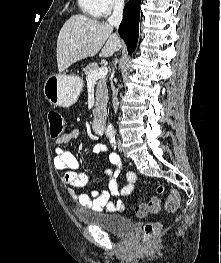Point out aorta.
Listing matches in <instances>:
<instances>
[{"mask_svg":"<svg viewBox=\"0 0 221 263\" xmlns=\"http://www.w3.org/2000/svg\"><path fill=\"white\" fill-rule=\"evenodd\" d=\"M106 133L107 134H114V127L112 123H108L107 128H106Z\"/></svg>","mask_w":221,"mask_h":263,"instance_id":"aorta-1","label":"aorta"}]
</instances>
